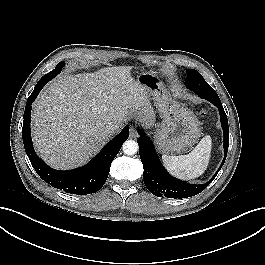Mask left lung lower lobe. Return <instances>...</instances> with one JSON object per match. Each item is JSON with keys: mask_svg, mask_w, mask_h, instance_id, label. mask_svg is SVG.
Listing matches in <instances>:
<instances>
[{"mask_svg": "<svg viewBox=\"0 0 265 265\" xmlns=\"http://www.w3.org/2000/svg\"><path fill=\"white\" fill-rule=\"evenodd\" d=\"M185 85L199 97L210 101L219 109L221 126L224 133L225 153L219 169L209 181L211 182L223 166L228 152L229 126L227 116L219 96L207 82H190L188 84L185 83ZM138 133L140 137L137 139V143L144 167L143 180L145 186L152 194L158 197L182 199L194 196L206 188V184H189L172 177L161 164L151 140L145 135L143 130H138Z\"/></svg>", "mask_w": 265, "mask_h": 265, "instance_id": "left-lung-lower-lobe-1", "label": "left lung lower lobe"}]
</instances>
